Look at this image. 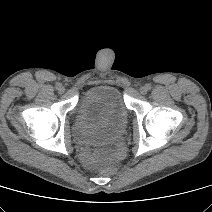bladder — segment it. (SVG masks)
I'll return each instance as SVG.
<instances>
[{
    "label": "bladder",
    "instance_id": "31cf9c89",
    "mask_svg": "<svg viewBox=\"0 0 212 212\" xmlns=\"http://www.w3.org/2000/svg\"><path fill=\"white\" fill-rule=\"evenodd\" d=\"M127 124L128 110L122 94L111 86H96L83 92L73 109V134L83 144L118 136Z\"/></svg>",
    "mask_w": 212,
    "mask_h": 212
}]
</instances>
